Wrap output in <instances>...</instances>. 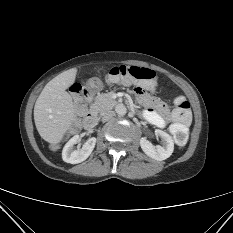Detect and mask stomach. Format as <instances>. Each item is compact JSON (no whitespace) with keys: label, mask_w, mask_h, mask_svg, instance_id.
Returning a JSON list of instances; mask_svg holds the SVG:
<instances>
[{"label":"stomach","mask_w":233,"mask_h":233,"mask_svg":"<svg viewBox=\"0 0 233 233\" xmlns=\"http://www.w3.org/2000/svg\"><path fill=\"white\" fill-rule=\"evenodd\" d=\"M88 87L92 91H100L102 89V87H103V84H102V81L99 78L93 77V78L89 79Z\"/></svg>","instance_id":"obj_1"}]
</instances>
